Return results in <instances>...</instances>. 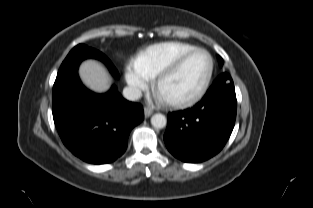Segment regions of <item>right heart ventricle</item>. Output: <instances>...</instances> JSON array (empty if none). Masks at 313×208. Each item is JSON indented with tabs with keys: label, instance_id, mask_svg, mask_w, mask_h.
Listing matches in <instances>:
<instances>
[{
	"label": "right heart ventricle",
	"instance_id": "e07e8e85",
	"mask_svg": "<svg viewBox=\"0 0 313 208\" xmlns=\"http://www.w3.org/2000/svg\"><path fill=\"white\" fill-rule=\"evenodd\" d=\"M196 46L183 42H164L152 45L141 52L134 61V68L148 79L157 77L180 55Z\"/></svg>",
	"mask_w": 313,
	"mask_h": 208
}]
</instances>
